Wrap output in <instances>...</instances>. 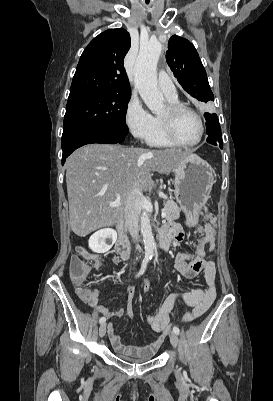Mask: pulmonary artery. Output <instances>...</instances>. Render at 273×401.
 I'll return each mask as SVG.
<instances>
[{"instance_id":"e3ab8cb5","label":"pulmonary artery","mask_w":273,"mask_h":401,"mask_svg":"<svg viewBox=\"0 0 273 401\" xmlns=\"http://www.w3.org/2000/svg\"><path fill=\"white\" fill-rule=\"evenodd\" d=\"M161 81L163 82V86L161 89L163 93L167 96V98H174L177 96L176 86L177 83L175 80H172L170 74H165V71H161Z\"/></svg>"}]
</instances>
